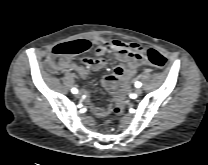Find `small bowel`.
Here are the masks:
<instances>
[{
  "label": "small bowel",
  "mask_w": 208,
  "mask_h": 165,
  "mask_svg": "<svg viewBox=\"0 0 208 165\" xmlns=\"http://www.w3.org/2000/svg\"><path fill=\"white\" fill-rule=\"evenodd\" d=\"M87 42L95 46V57L84 58L83 65H78L67 59L61 63L60 70L75 71L80 78H85L88 74L87 69L99 70L105 67L107 60L104 56L112 53L119 61V65L111 74L103 78L102 84L110 91L115 90L118 85L126 89L129 79L135 75L137 68L143 63L140 55L141 46L134 42H124L117 39L109 40L102 37H97ZM108 98L112 103L117 101L114 93H110ZM106 112V107L96 108V113L99 115H103Z\"/></svg>",
  "instance_id": "small-bowel-1"
}]
</instances>
